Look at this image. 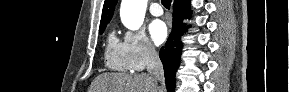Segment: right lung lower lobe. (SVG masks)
Returning <instances> with one entry per match:
<instances>
[{"label":"right lung lower lobe","instance_id":"1","mask_svg":"<svg viewBox=\"0 0 289 92\" xmlns=\"http://www.w3.org/2000/svg\"><path fill=\"white\" fill-rule=\"evenodd\" d=\"M190 0H175L173 4V26L172 32L161 48L159 55L164 67L166 87L169 92L175 89V73L179 66L182 43L180 37L188 27L180 21L190 19Z\"/></svg>","mask_w":289,"mask_h":92}]
</instances>
